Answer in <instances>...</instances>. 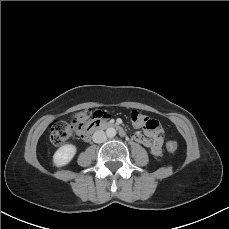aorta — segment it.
I'll return each instance as SVG.
<instances>
[{
	"mask_svg": "<svg viewBox=\"0 0 229 229\" xmlns=\"http://www.w3.org/2000/svg\"><path fill=\"white\" fill-rule=\"evenodd\" d=\"M116 133H117L116 130H115L114 128H112V127H109V128H107V130H106V134H107V136H108L109 138L115 137Z\"/></svg>",
	"mask_w": 229,
	"mask_h": 229,
	"instance_id": "aorta-1",
	"label": "aorta"
}]
</instances>
